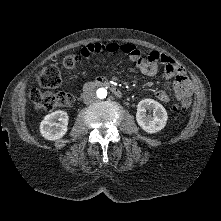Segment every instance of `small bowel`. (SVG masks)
I'll list each match as a JSON object with an SVG mask.
<instances>
[{
  "label": "small bowel",
  "mask_w": 221,
  "mask_h": 221,
  "mask_svg": "<svg viewBox=\"0 0 221 221\" xmlns=\"http://www.w3.org/2000/svg\"><path fill=\"white\" fill-rule=\"evenodd\" d=\"M102 53H122L127 55L136 69L146 76L156 75L159 65L162 64L164 65L165 80L174 81L173 90L175 99L183 100L192 97L193 88L188 76L181 66L168 55L152 51L147 56H144L134 44L118 42L87 43L80 49V54L84 58H88L92 54ZM155 95L161 102L168 103L170 101V96L164 89L157 90Z\"/></svg>",
  "instance_id": "obj_1"
}]
</instances>
